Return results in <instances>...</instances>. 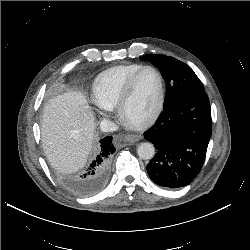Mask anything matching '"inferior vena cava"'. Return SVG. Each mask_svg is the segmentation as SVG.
<instances>
[{
	"instance_id": "obj_1",
	"label": "inferior vena cava",
	"mask_w": 250,
	"mask_h": 250,
	"mask_svg": "<svg viewBox=\"0 0 250 250\" xmlns=\"http://www.w3.org/2000/svg\"><path fill=\"white\" fill-rule=\"evenodd\" d=\"M117 128H118L117 125L110 120L103 119L100 122V129L103 132H113V131H116Z\"/></svg>"
}]
</instances>
